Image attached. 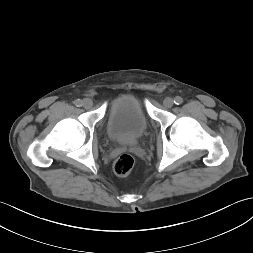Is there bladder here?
Returning a JSON list of instances; mask_svg holds the SVG:
<instances>
[{
    "label": "bladder",
    "instance_id": "obj_1",
    "mask_svg": "<svg viewBox=\"0 0 253 253\" xmlns=\"http://www.w3.org/2000/svg\"><path fill=\"white\" fill-rule=\"evenodd\" d=\"M147 127V117L138 98L131 94H121L111 101L106 129L113 142L133 143L146 133Z\"/></svg>",
    "mask_w": 253,
    "mask_h": 253
}]
</instances>
